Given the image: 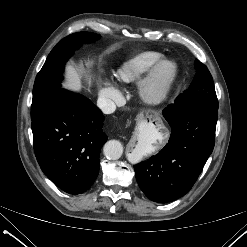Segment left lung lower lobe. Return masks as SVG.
<instances>
[{
	"label": "left lung lower lobe",
	"instance_id": "0a47b994",
	"mask_svg": "<svg viewBox=\"0 0 247 247\" xmlns=\"http://www.w3.org/2000/svg\"><path fill=\"white\" fill-rule=\"evenodd\" d=\"M163 115L171 137L157 155L134 166L136 180L152 201H174L192 188L213 151L218 107L200 98L169 105Z\"/></svg>",
	"mask_w": 247,
	"mask_h": 247
}]
</instances>
